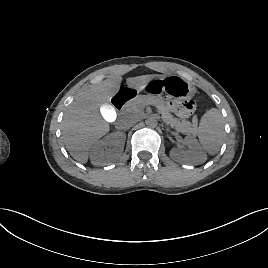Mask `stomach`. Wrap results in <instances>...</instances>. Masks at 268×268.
I'll list each match as a JSON object with an SVG mask.
<instances>
[{
	"mask_svg": "<svg viewBox=\"0 0 268 268\" xmlns=\"http://www.w3.org/2000/svg\"><path fill=\"white\" fill-rule=\"evenodd\" d=\"M133 88L137 93L158 94L166 91L172 97L180 100L190 99L195 94V87L192 83L179 75L155 76L149 81Z\"/></svg>",
	"mask_w": 268,
	"mask_h": 268,
	"instance_id": "obj_1",
	"label": "stomach"
}]
</instances>
